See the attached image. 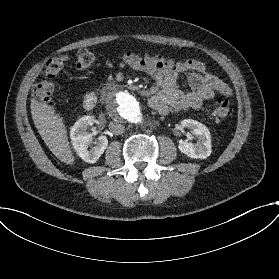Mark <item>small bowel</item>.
I'll return each instance as SVG.
<instances>
[{
  "label": "small bowel",
  "mask_w": 279,
  "mask_h": 279,
  "mask_svg": "<svg viewBox=\"0 0 279 279\" xmlns=\"http://www.w3.org/2000/svg\"><path fill=\"white\" fill-rule=\"evenodd\" d=\"M121 57L131 69L144 73L153 80L148 105L160 114L200 109L216 93L230 94L229 87L217 76L206 72V65L200 60H175L148 52H128ZM184 72L189 73L187 91L182 90L178 83L179 74Z\"/></svg>",
  "instance_id": "1"
}]
</instances>
